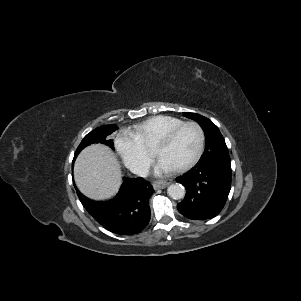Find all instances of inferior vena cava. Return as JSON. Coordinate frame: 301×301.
<instances>
[{
	"label": "inferior vena cava",
	"mask_w": 301,
	"mask_h": 301,
	"mask_svg": "<svg viewBox=\"0 0 301 301\" xmlns=\"http://www.w3.org/2000/svg\"><path fill=\"white\" fill-rule=\"evenodd\" d=\"M132 173L139 176H147L149 174V168L146 166H135L132 168Z\"/></svg>",
	"instance_id": "602c4592"
}]
</instances>
